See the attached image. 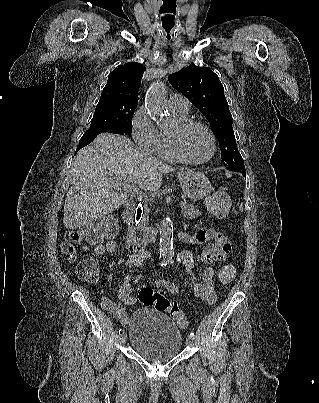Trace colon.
Instances as JSON below:
<instances>
[{"mask_svg":"<svg viewBox=\"0 0 319 403\" xmlns=\"http://www.w3.org/2000/svg\"><path fill=\"white\" fill-rule=\"evenodd\" d=\"M206 205L214 216L221 218L225 216L228 210L229 198L226 193L217 192L208 197ZM116 231L117 221L113 216L108 215L81 232H70L66 235L63 249L70 259L76 262V272L81 279L94 282L99 275V264L92 258L83 257L80 248L81 244L87 242L94 247L96 252L100 253L104 251L114 252L117 242L115 239L110 238L115 236ZM235 275V268L232 265H225L220 270L219 279L222 283L228 284L234 280ZM138 298L143 306L167 313L175 320L180 329L185 330L188 328L189 321L185 313L176 304L168 300L162 292L151 288H142L138 293Z\"/></svg>","mask_w":319,"mask_h":403,"instance_id":"obj_1","label":"colon"}]
</instances>
